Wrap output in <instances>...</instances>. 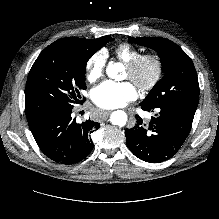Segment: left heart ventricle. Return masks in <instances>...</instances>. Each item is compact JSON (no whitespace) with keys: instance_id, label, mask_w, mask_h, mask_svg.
Returning a JSON list of instances; mask_svg holds the SVG:
<instances>
[{"instance_id":"obj_1","label":"left heart ventricle","mask_w":219,"mask_h":219,"mask_svg":"<svg viewBox=\"0 0 219 219\" xmlns=\"http://www.w3.org/2000/svg\"><path fill=\"white\" fill-rule=\"evenodd\" d=\"M153 73V67L150 63L145 64L138 72L137 78L141 82L148 81ZM130 75L127 70H125V78L129 79Z\"/></svg>"}]
</instances>
